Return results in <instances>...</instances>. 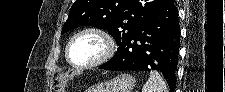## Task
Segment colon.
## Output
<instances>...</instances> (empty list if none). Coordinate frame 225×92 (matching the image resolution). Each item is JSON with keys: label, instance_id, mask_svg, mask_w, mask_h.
<instances>
[{"label": "colon", "instance_id": "5ec220e1", "mask_svg": "<svg viewBox=\"0 0 225 92\" xmlns=\"http://www.w3.org/2000/svg\"><path fill=\"white\" fill-rule=\"evenodd\" d=\"M68 76L66 74H62L56 79L55 85H56V90L57 92H64L65 91V86L67 82Z\"/></svg>", "mask_w": 225, "mask_h": 92}]
</instances>
